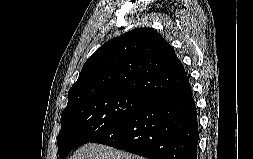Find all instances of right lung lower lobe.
I'll return each mask as SVG.
<instances>
[{
    "mask_svg": "<svg viewBox=\"0 0 253 159\" xmlns=\"http://www.w3.org/2000/svg\"><path fill=\"white\" fill-rule=\"evenodd\" d=\"M197 113L189 80L158 95L92 142L150 159H197Z\"/></svg>",
    "mask_w": 253,
    "mask_h": 159,
    "instance_id": "1",
    "label": "right lung lower lobe"
}]
</instances>
